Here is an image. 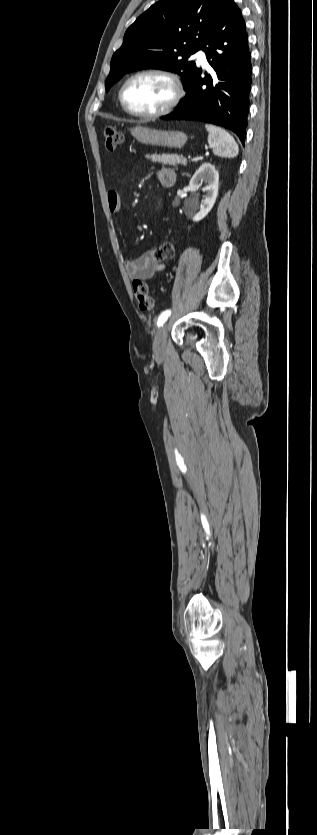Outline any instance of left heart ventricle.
<instances>
[{
  "label": "left heart ventricle",
  "mask_w": 317,
  "mask_h": 835,
  "mask_svg": "<svg viewBox=\"0 0 317 835\" xmlns=\"http://www.w3.org/2000/svg\"><path fill=\"white\" fill-rule=\"evenodd\" d=\"M173 96L170 82L157 75L132 80L124 91L127 105L134 111L151 113L163 108Z\"/></svg>",
  "instance_id": "b2bd125f"
}]
</instances>
